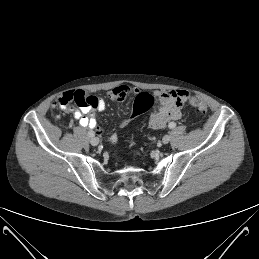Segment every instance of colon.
<instances>
[{
	"mask_svg": "<svg viewBox=\"0 0 259 259\" xmlns=\"http://www.w3.org/2000/svg\"><path fill=\"white\" fill-rule=\"evenodd\" d=\"M189 102L193 107L196 108V110L199 113L205 114L207 112V106L201 98L191 97ZM153 105H154V98L152 95L148 93L138 94L133 104L132 114L130 115V117H128L121 123V126L122 127L127 126L132 121L133 118L147 112L153 107Z\"/></svg>",
	"mask_w": 259,
	"mask_h": 259,
	"instance_id": "obj_1",
	"label": "colon"
}]
</instances>
